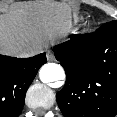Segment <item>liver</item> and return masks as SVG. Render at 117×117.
<instances>
[{"label":"liver","instance_id":"6515ba94","mask_svg":"<svg viewBox=\"0 0 117 117\" xmlns=\"http://www.w3.org/2000/svg\"><path fill=\"white\" fill-rule=\"evenodd\" d=\"M6 6V5H5ZM0 14V52L19 56L30 47L65 35L71 26L70 9L55 2H24L4 7Z\"/></svg>","mask_w":117,"mask_h":117}]
</instances>
